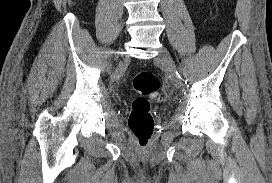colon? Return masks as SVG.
I'll list each match as a JSON object with an SVG mask.
<instances>
[{"label": "colon", "mask_w": 272, "mask_h": 183, "mask_svg": "<svg viewBox=\"0 0 272 183\" xmlns=\"http://www.w3.org/2000/svg\"><path fill=\"white\" fill-rule=\"evenodd\" d=\"M133 88L138 96L132 102L128 126L138 145L145 147L154 130L149 98H160V80L150 71H140L133 78Z\"/></svg>", "instance_id": "5ec220e1"}]
</instances>
